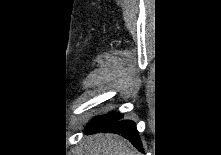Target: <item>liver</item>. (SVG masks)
Listing matches in <instances>:
<instances>
[{
    "instance_id": "liver-1",
    "label": "liver",
    "mask_w": 221,
    "mask_h": 155,
    "mask_svg": "<svg viewBox=\"0 0 221 155\" xmlns=\"http://www.w3.org/2000/svg\"><path fill=\"white\" fill-rule=\"evenodd\" d=\"M83 145L84 155H137L131 144L117 134L88 136Z\"/></svg>"
}]
</instances>
